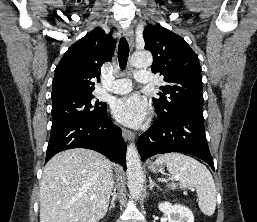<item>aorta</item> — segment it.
I'll use <instances>...</instances> for the list:
<instances>
[{"mask_svg":"<svg viewBox=\"0 0 257 222\" xmlns=\"http://www.w3.org/2000/svg\"><path fill=\"white\" fill-rule=\"evenodd\" d=\"M153 62L152 54L149 51H136L131 57V64L137 68L151 66ZM128 188L133 198H138L143 190L144 173L138 151L135 144L131 143L126 152Z\"/></svg>","mask_w":257,"mask_h":222,"instance_id":"obj_1","label":"aorta"}]
</instances>
